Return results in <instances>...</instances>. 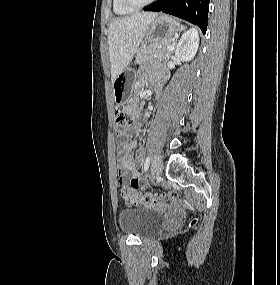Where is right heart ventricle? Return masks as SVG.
I'll return each mask as SVG.
<instances>
[{"label": "right heart ventricle", "mask_w": 280, "mask_h": 285, "mask_svg": "<svg viewBox=\"0 0 280 285\" xmlns=\"http://www.w3.org/2000/svg\"><path fill=\"white\" fill-rule=\"evenodd\" d=\"M113 11L117 15H128L132 13L134 10L128 9L122 5L120 0H113Z\"/></svg>", "instance_id": "right-heart-ventricle-1"}]
</instances>
